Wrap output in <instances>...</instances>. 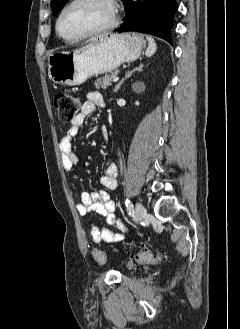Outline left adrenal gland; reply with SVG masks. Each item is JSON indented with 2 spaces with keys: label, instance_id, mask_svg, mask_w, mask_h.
I'll use <instances>...</instances> for the list:
<instances>
[{
  "label": "left adrenal gland",
  "instance_id": "1",
  "mask_svg": "<svg viewBox=\"0 0 240 329\" xmlns=\"http://www.w3.org/2000/svg\"><path fill=\"white\" fill-rule=\"evenodd\" d=\"M142 69H143V64H140L138 67H136L135 69H133L132 71H130V72H127L126 74H125V77L116 85V87H115V89H114V92H117L118 90H119V88H120V86L122 85V83L127 79V78H129L131 75H132V73H134L135 71H142Z\"/></svg>",
  "mask_w": 240,
  "mask_h": 329
}]
</instances>
